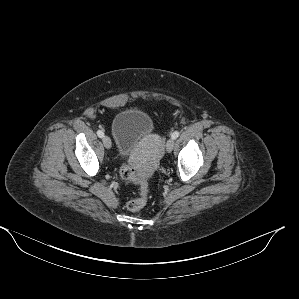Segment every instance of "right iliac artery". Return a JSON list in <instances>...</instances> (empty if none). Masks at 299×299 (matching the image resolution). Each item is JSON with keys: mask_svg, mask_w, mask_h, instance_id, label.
<instances>
[{"mask_svg": "<svg viewBox=\"0 0 299 299\" xmlns=\"http://www.w3.org/2000/svg\"><path fill=\"white\" fill-rule=\"evenodd\" d=\"M97 135H98L100 138L104 137V133H103L101 130H98V131H97Z\"/></svg>", "mask_w": 299, "mask_h": 299, "instance_id": "82829eb1", "label": "right iliac artery"}]
</instances>
